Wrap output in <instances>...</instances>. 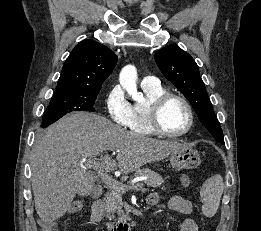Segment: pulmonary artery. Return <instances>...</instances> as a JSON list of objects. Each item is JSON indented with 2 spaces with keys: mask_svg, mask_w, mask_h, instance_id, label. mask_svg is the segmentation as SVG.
<instances>
[{
  "mask_svg": "<svg viewBox=\"0 0 261 231\" xmlns=\"http://www.w3.org/2000/svg\"><path fill=\"white\" fill-rule=\"evenodd\" d=\"M141 85L143 87H148V86H157L158 85V80L155 76L152 75H147L142 79Z\"/></svg>",
  "mask_w": 261,
  "mask_h": 231,
  "instance_id": "e3ab8cb5",
  "label": "pulmonary artery"
}]
</instances>
